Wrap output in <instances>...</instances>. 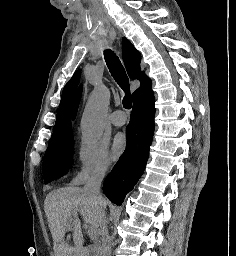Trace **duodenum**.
I'll return each instance as SVG.
<instances>
[{
    "instance_id": "obj_1",
    "label": "duodenum",
    "mask_w": 236,
    "mask_h": 256,
    "mask_svg": "<svg viewBox=\"0 0 236 256\" xmlns=\"http://www.w3.org/2000/svg\"><path fill=\"white\" fill-rule=\"evenodd\" d=\"M81 256H91V248L89 246H85Z\"/></svg>"
}]
</instances>
